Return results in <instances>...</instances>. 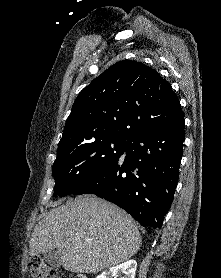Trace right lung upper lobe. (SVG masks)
Segmentation results:
<instances>
[{"label":"right lung upper lobe","instance_id":"cb5924a9","mask_svg":"<svg viewBox=\"0 0 221 278\" xmlns=\"http://www.w3.org/2000/svg\"><path fill=\"white\" fill-rule=\"evenodd\" d=\"M184 114L171 85L154 69L115 63L85 87L67 118L58 152L105 136H131L170 125Z\"/></svg>","mask_w":221,"mask_h":278}]
</instances>
